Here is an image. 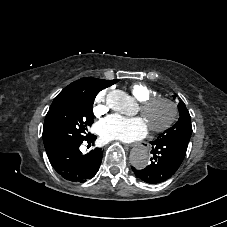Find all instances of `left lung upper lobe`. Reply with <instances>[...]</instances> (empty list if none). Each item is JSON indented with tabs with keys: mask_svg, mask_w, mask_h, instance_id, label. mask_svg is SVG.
Returning <instances> with one entry per match:
<instances>
[{
	"mask_svg": "<svg viewBox=\"0 0 227 227\" xmlns=\"http://www.w3.org/2000/svg\"><path fill=\"white\" fill-rule=\"evenodd\" d=\"M180 117L174 126L164 131L158 138L174 139L184 143H189L192 134L191 117L185 106L180 101L178 104Z\"/></svg>",
	"mask_w": 227,
	"mask_h": 227,
	"instance_id": "1",
	"label": "left lung upper lobe"
}]
</instances>
